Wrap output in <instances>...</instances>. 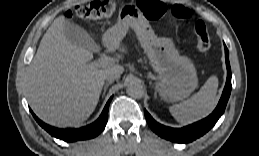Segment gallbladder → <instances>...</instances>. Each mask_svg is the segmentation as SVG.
Segmentation results:
<instances>
[{
  "mask_svg": "<svg viewBox=\"0 0 259 156\" xmlns=\"http://www.w3.org/2000/svg\"><path fill=\"white\" fill-rule=\"evenodd\" d=\"M64 35L68 41L78 47L95 51L98 49L91 36L79 25L66 21L64 23Z\"/></svg>",
  "mask_w": 259,
  "mask_h": 156,
  "instance_id": "bac80fb5",
  "label": "gallbladder"
}]
</instances>
